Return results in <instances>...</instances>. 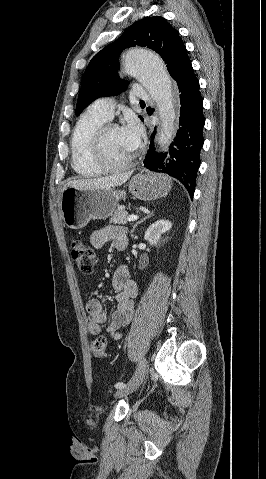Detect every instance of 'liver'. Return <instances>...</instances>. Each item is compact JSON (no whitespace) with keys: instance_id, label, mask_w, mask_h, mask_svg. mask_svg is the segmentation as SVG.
I'll return each instance as SVG.
<instances>
[{"instance_id":"obj_1","label":"liver","mask_w":266,"mask_h":479,"mask_svg":"<svg viewBox=\"0 0 266 479\" xmlns=\"http://www.w3.org/2000/svg\"><path fill=\"white\" fill-rule=\"evenodd\" d=\"M131 174L132 172H126L102 178L71 180L67 182L64 189L68 187L76 189H110L124 184Z\"/></svg>"}]
</instances>
